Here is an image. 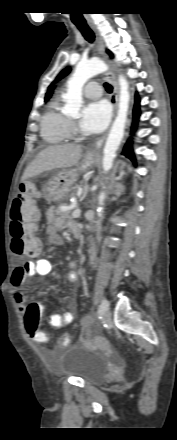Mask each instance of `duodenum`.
<instances>
[{
	"mask_svg": "<svg viewBox=\"0 0 177 440\" xmlns=\"http://www.w3.org/2000/svg\"><path fill=\"white\" fill-rule=\"evenodd\" d=\"M72 234L76 239H79L82 236V228L79 225H74L72 228Z\"/></svg>",
	"mask_w": 177,
	"mask_h": 440,
	"instance_id": "duodenum-1",
	"label": "duodenum"
}]
</instances>
